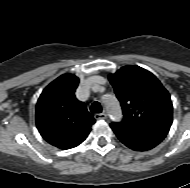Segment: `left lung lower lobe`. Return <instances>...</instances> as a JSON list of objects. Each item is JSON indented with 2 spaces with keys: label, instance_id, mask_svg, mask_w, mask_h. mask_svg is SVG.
<instances>
[{
  "label": "left lung lower lobe",
  "instance_id": "obj_1",
  "mask_svg": "<svg viewBox=\"0 0 190 188\" xmlns=\"http://www.w3.org/2000/svg\"><path fill=\"white\" fill-rule=\"evenodd\" d=\"M110 127L123 144L137 151L150 150L166 137L163 133L141 131L120 123H111Z\"/></svg>",
  "mask_w": 190,
  "mask_h": 188
}]
</instances>
